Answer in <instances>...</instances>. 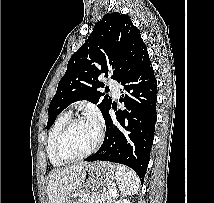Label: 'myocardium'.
Instances as JSON below:
<instances>
[{
  "mask_svg": "<svg viewBox=\"0 0 214 203\" xmlns=\"http://www.w3.org/2000/svg\"><path fill=\"white\" fill-rule=\"evenodd\" d=\"M88 120L85 117H74L69 119L64 125L63 127L59 130L56 139H55V144H54V151L56 156L64 163H72V162H76V161H80L83 160L89 156H91L93 153H95L98 148L101 146L103 139H104V130L102 128V126L100 124H96L97 128H98V136L97 139L94 143V145L92 146V148L90 150H88L87 152H85L82 155L73 157V158H69L66 157L61 150V145H62V141L63 138L65 136V134L68 132V130L74 126L75 124L79 123V122H84Z\"/></svg>",
  "mask_w": 214,
  "mask_h": 203,
  "instance_id": "obj_1",
  "label": "myocardium"
}]
</instances>
